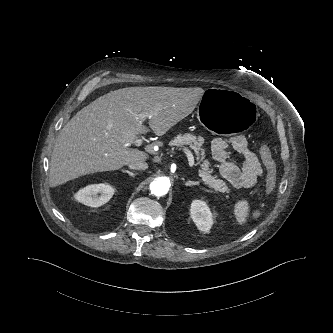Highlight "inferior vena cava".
<instances>
[{"mask_svg":"<svg viewBox=\"0 0 333 333\" xmlns=\"http://www.w3.org/2000/svg\"><path fill=\"white\" fill-rule=\"evenodd\" d=\"M128 167L133 170H146L148 164L145 161L135 160L128 163Z\"/></svg>","mask_w":333,"mask_h":333,"instance_id":"obj_1","label":"inferior vena cava"}]
</instances>
